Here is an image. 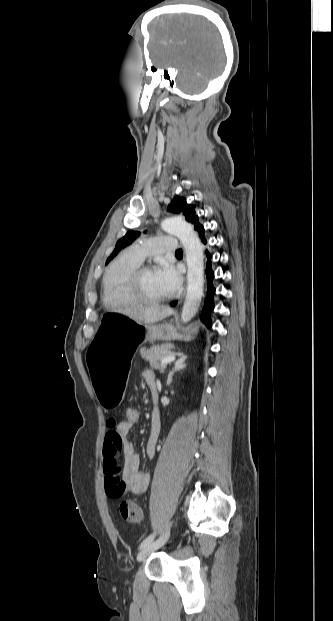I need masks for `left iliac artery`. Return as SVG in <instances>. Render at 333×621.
Returning a JSON list of instances; mask_svg holds the SVG:
<instances>
[{
	"label": "left iliac artery",
	"instance_id": "left-iliac-artery-1",
	"mask_svg": "<svg viewBox=\"0 0 333 621\" xmlns=\"http://www.w3.org/2000/svg\"><path fill=\"white\" fill-rule=\"evenodd\" d=\"M155 537V533L149 535L148 537H146L142 543L140 544V548H144L145 546H147L149 543H151L153 541Z\"/></svg>",
	"mask_w": 333,
	"mask_h": 621
}]
</instances>
